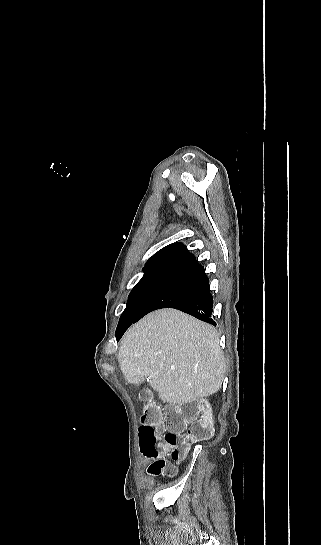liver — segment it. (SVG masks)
Instances as JSON below:
<instances>
[{
  "label": "liver",
  "instance_id": "liver-1",
  "mask_svg": "<svg viewBox=\"0 0 321 545\" xmlns=\"http://www.w3.org/2000/svg\"><path fill=\"white\" fill-rule=\"evenodd\" d=\"M219 341L211 325L160 309L126 331L117 359L128 383L149 379L163 403L182 407L220 391L226 363Z\"/></svg>",
  "mask_w": 321,
  "mask_h": 545
}]
</instances>
